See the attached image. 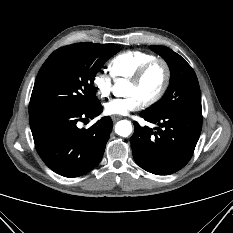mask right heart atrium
Returning a JSON list of instances; mask_svg holds the SVG:
<instances>
[{"label":"right heart atrium","mask_w":233,"mask_h":233,"mask_svg":"<svg viewBox=\"0 0 233 233\" xmlns=\"http://www.w3.org/2000/svg\"><path fill=\"white\" fill-rule=\"evenodd\" d=\"M112 82L113 77L109 72L100 70L95 73L93 77V85L100 98H106L109 96L112 90Z\"/></svg>","instance_id":"right-heart-atrium-1"}]
</instances>
